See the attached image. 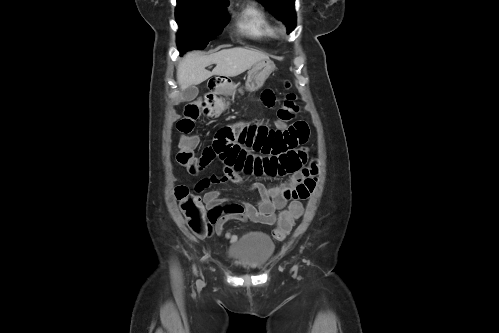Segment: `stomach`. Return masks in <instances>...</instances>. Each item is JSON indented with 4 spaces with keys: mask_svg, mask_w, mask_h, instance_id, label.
Instances as JSON below:
<instances>
[{
    "mask_svg": "<svg viewBox=\"0 0 499 333\" xmlns=\"http://www.w3.org/2000/svg\"><path fill=\"white\" fill-rule=\"evenodd\" d=\"M274 70L275 64L269 59L257 62L248 72L246 89L250 92L259 90ZM235 88V85L227 79H221L215 84V92L219 95L234 96Z\"/></svg>",
    "mask_w": 499,
    "mask_h": 333,
    "instance_id": "stomach-1",
    "label": "stomach"
}]
</instances>
